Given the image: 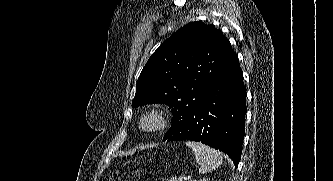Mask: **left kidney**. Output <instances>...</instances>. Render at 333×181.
Wrapping results in <instances>:
<instances>
[{
  "label": "left kidney",
  "instance_id": "left-kidney-1",
  "mask_svg": "<svg viewBox=\"0 0 333 181\" xmlns=\"http://www.w3.org/2000/svg\"><path fill=\"white\" fill-rule=\"evenodd\" d=\"M193 181H209V180L206 179V178H202V179H199V180H193Z\"/></svg>",
  "mask_w": 333,
  "mask_h": 181
}]
</instances>
